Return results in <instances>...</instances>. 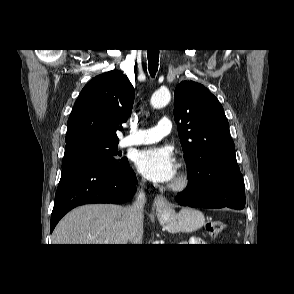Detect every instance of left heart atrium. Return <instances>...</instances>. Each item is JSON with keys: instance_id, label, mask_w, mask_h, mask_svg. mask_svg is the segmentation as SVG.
<instances>
[{"instance_id": "39dd6f15", "label": "left heart atrium", "mask_w": 294, "mask_h": 294, "mask_svg": "<svg viewBox=\"0 0 294 294\" xmlns=\"http://www.w3.org/2000/svg\"><path fill=\"white\" fill-rule=\"evenodd\" d=\"M138 172L146 179L169 183L177 173V163L173 153L167 148L153 147L139 151L135 156Z\"/></svg>"}]
</instances>
